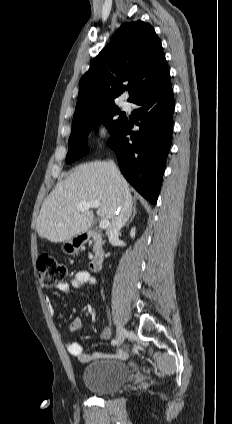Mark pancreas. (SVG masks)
<instances>
[{"instance_id":"cf45deb5","label":"pancreas","mask_w":232,"mask_h":424,"mask_svg":"<svg viewBox=\"0 0 232 424\" xmlns=\"http://www.w3.org/2000/svg\"><path fill=\"white\" fill-rule=\"evenodd\" d=\"M94 241H95V247H96V242H97V239H94Z\"/></svg>"}]
</instances>
